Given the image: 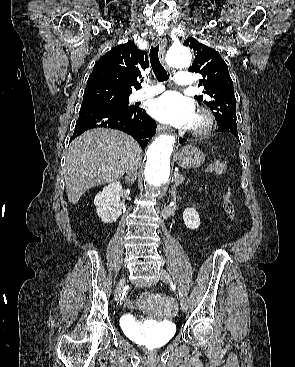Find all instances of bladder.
Returning a JSON list of instances; mask_svg holds the SVG:
<instances>
[{
    "mask_svg": "<svg viewBox=\"0 0 295 367\" xmlns=\"http://www.w3.org/2000/svg\"><path fill=\"white\" fill-rule=\"evenodd\" d=\"M176 328L172 322H169L167 326L160 328L157 339L163 343L168 342L175 334Z\"/></svg>",
    "mask_w": 295,
    "mask_h": 367,
    "instance_id": "31cf9c89",
    "label": "bladder"
}]
</instances>
